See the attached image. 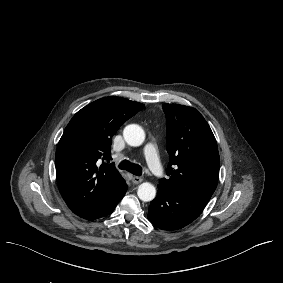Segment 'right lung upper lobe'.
Returning <instances> with one entry per match:
<instances>
[{"mask_svg": "<svg viewBox=\"0 0 283 283\" xmlns=\"http://www.w3.org/2000/svg\"><path fill=\"white\" fill-rule=\"evenodd\" d=\"M143 108L138 102L105 97L82 108L67 125L56 150V177L62 197L78 216L94 214L122 194L125 180L104 160L112 159L113 135Z\"/></svg>", "mask_w": 283, "mask_h": 283, "instance_id": "obj_1", "label": "right lung upper lobe"}]
</instances>
